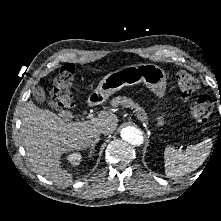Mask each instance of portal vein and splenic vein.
<instances>
[{"label": "portal vein and splenic vein", "mask_w": 221, "mask_h": 221, "mask_svg": "<svg viewBox=\"0 0 221 221\" xmlns=\"http://www.w3.org/2000/svg\"><path fill=\"white\" fill-rule=\"evenodd\" d=\"M92 117H93V115H92V114H90V115H88V116H87V118H89V119H90V118H92Z\"/></svg>", "instance_id": "obj_1"}]
</instances>
